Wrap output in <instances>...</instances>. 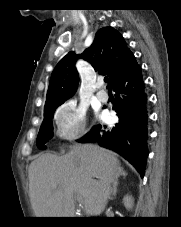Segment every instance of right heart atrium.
Listing matches in <instances>:
<instances>
[{
    "label": "right heart atrium",
    "instance_id": "obj_1",
    "mask_svg": "<svg viewBox=\"0 0 181 227\" xmlns=\"http://www.w3.org/2000/svg\"><path fill=\"white\" fill-rule=\"evenodd\" d=\"M56 133L59 138L73 141L87 130L86 110L74 100H68L55 112Z\"/></svg>",
    "mask_w": 181,
    "mask_h": 227
}]
</instances>
